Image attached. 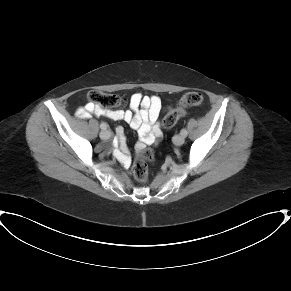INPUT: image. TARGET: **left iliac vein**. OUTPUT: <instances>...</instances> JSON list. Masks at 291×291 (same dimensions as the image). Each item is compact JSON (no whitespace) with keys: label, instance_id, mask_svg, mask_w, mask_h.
<instances>
[{"label":"left iliac vein","instance_id":"obj_1","mask_svg":"<svg viewBox=\"0 0 291 291\" xmlns=\"http://www.w3.org/2000/svg\"><path fill=\"white\" fill-rule=\"evenodd\" d=\"M185 141V137L183 135H176L173 137V142L175 145H182Z\"/></svg>","mask_w":291,"mask_h":291}]
</instances>
